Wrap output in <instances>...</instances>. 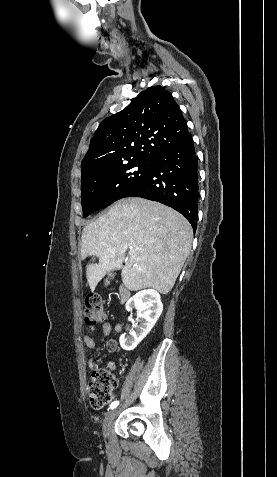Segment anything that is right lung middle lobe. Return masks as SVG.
Here are the masks:
<instances>
[{"mask_svg":"<svg viewBox=\"0 0 277 477\" xmlns=\"http://www.w3.org/2000/svg\"><path fill=\"white\" fill-rule=\"evenodd\" d=\"M151 167V161H132L113 167L83 170V217L124 198L144 179Z\"/></svg>","mask_w":277,"mask_h":477,"instance_id":"1","label":"right lung middle lobe"}]
</instances>
